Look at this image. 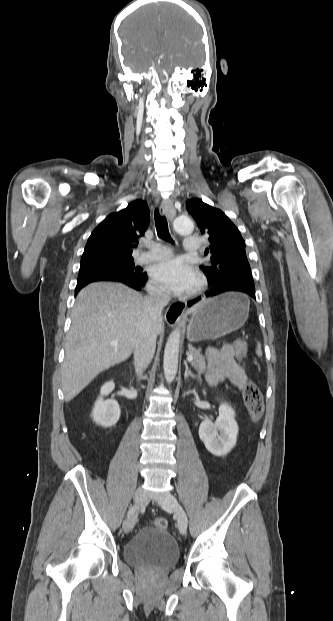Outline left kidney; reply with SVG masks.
<instances>
[{"mask_svg": "<svg viewBox=\"0 0 333 621\" xmlns=\"http://www.w3.org/2000/svg\"><path fill=\"white\" fill-rule=\"evenodd\" d=\"M237 435L238 424L235 420V411L226 403H221L219 406V416L215 423L205 420L199 427L201 441L215 456L227 455L235 446Z\"/></svg>", "mask_w": 333, "mask_h": 621, "instance_id": "left-kidney-1", "label": "left kidney"}]
</instances>
